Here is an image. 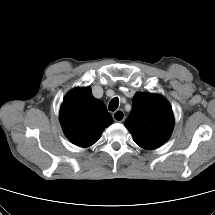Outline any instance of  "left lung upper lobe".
I'll return each mask as SVG.
<instances>
[{
    "label": "left lung upper lobe",
    "mask_w": 215,
    "mask_h": 215,
    "mask_svg": "<svg viewBox=\"0 0 215 215\" xmlns=\"http://www.w3.org/2000/svg\"><path fill=\"white\" fill-rule=\"evenodd\" d=\"M174 116L170 104L158 94L137 93L133 108L125 121L135 143L143 149L162 146L170 137Z\"/></svg>",
    "instance_id": "1"
}]
</instances>
